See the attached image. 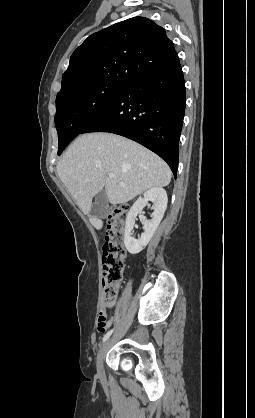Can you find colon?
<instances>
[{
	"label": "colon",
	"mask_w": 255,
	"mask_h": 418,
	"mask_svg": "<svg viewBox=\"0 0 255 418\" xmlns=\"http://www.w3.org/2000/svg\"><path fill=\"white\" fill-rule=\"evenodd\" d=\"M129 207L126 204L111 206L107 213L108 226L102 253V287L104 302L107 307L114 305L117 286L123 278L126 249L124 231ZM106 315L101 312L98 317V328L104 330Z\"/></svg>",
	"instance_id": "colon-1"
}]
</instances>
